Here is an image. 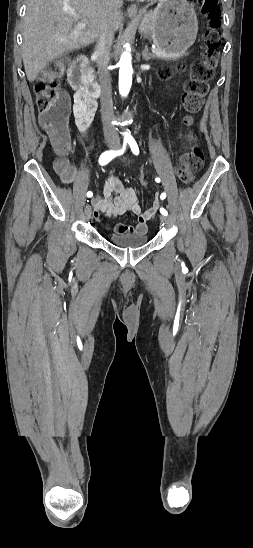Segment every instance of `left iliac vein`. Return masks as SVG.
<instances>
[{"label": "left iliac vein", "instance_id": "4c4485c4", "mask_svg": "<svg viewBox=\"0 0 253 548\" xmlns=\"http://www.w3.org/2000/svg\"><path fill=\"white\" fill-rule=\"evenodd\" d=\"M160 220L162 223H164L166 226H169L170 225V219L168 216H165V215H161L160 216Z\"/></svg>", "mask_w": 253, "mask_h": 548}]
</instances>
